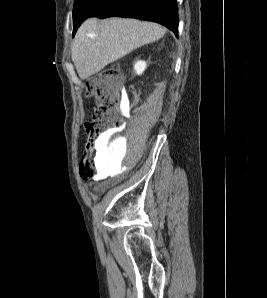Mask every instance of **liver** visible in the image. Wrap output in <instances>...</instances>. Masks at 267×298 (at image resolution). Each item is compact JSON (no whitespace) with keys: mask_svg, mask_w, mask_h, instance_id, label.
<instances>
[{"mask_svg":"<svg viewBox=\"0 0 267 298\" xmlns=\"http://www.w3.org/2000/svg\"><path fill=\"white\" fill-rule=\"evenodd\" d=\"M165 29L152 22L135 19L89 18L78 29L72 47V61L81 79L100 72L134 49L152 43Z\"/></svg>","mask_w":267,"mask_h":298,"instance_id":"obj_1","label":"liver"}]
</instances>
